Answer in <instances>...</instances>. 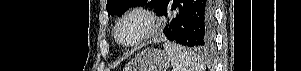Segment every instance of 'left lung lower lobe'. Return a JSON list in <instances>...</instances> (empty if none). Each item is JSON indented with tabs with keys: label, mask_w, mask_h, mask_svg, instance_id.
<instances>
[{
	"label": "left lung lower lobe",
	"mask_w": 301,
	"mask_h": 71,
	"mask_svg": "<svg viewBox=\"0 0 301 71\" xmlns=\"http://www.w3.org/2000/svg\"><path fill=\"white\" fill-rule=\"evenodd\" d=\"M212 0H165L159 16H167L170 24L166 37L189 47L206 49L214 41Z\"/></svg>",
	"instance_id": "1"
}]
</instances>
